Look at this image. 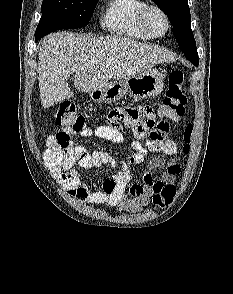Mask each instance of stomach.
I'll use <instances>...</instances> for the list:
<instances>
[{
  "label": "stomach",
  "instance_id": "stomach-1",
  "mask_svg": "<svg viewBox=\"0 0 233 294\" xmlns=\"http://www.w3.org/2000/svg\"><path fill=\"white\" fill-rule=\"evenodd\" d=\"M165 75L157 69L149 68L128 79L115 80L105 87L91 92L90 97L95 101L114 103L124 96L138 100L159 95L164 88Z\"/></svg>",
  "mask_w": 233,
  "mask_h": 294
}]
</instances>
